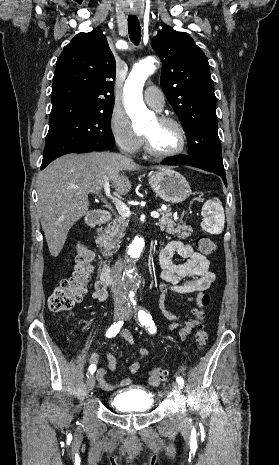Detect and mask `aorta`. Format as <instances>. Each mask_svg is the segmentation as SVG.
<instances>
[{
    "label": "aorta",
    "mask_w": 279,
    "mask_h": 465,
    "mask_svg": "<svg viewBox=\"0 0 279 465\" xmlns=\"http://www.w3.org/2000/svg\"><path fill=\"white\" fill-rule=\"evenodd\" d=\"M155 59L146 58L136 64L130 72L124 85V103L127 114L132 120L134 130L142 129L151 118V112L143 101L144 84L155 70ZM144 248V240L136 237L127 251V264L125 280L130 285L134 284V264Z\"/></svg>",
    "instance_id": "aorta-1"
}]
</instances>
